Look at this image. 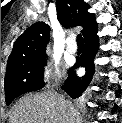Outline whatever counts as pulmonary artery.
<instances>
[{
	"instance_id": "1",
	"label": "pulmonary artery",
	"mask_w": 122,
	"mask_h": 123,
	"mask_svg": "<svg viewBox=\"0 0 122 123\" xmlns=\"http://www.w3.org/2000/svg\"><path fill=\"white\" fill-rule=\"evenodd\" d=\"M67 51L70 53V54H75L77 52V45H76V42H75V38L74 37H71L67 43Z\"/></svg>"
}]
</instances>
